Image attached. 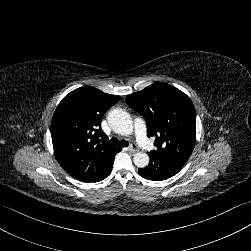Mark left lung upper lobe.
I'll return each mask as SVG.
<instances>
[{
	"label": "left lung upper lobe",
	"instance_id": "left-lung-upper-lobe-1",
	"mask_svg": "<svg viewBox=\"0 0 251 251\" xmlns=\"http://www.w3.org/2000/svg\"><path fill=\"white\" fill-rule=\"evenodd\" d=\"M127 104L146 119L148 137L156 152L186 163L196 141V114L190 98L179 89L156 82L127 95Z\"/></svg>",
	"mask_w": 251,
	"mask_h": 251
}]
</instances>
